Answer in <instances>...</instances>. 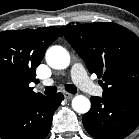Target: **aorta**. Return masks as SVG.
Here are the masks:
<instances>
[{"instance_id":"aorta-1","label":"aorta","mask_w":139,"mask_h":139,"mask_svg":"<svg viewBox=\"0 0 139 139\" xmlns=\"http://www.w3.org/2000/svg\"><path fill=\"white\" fill-rule=\"evenodd\" d=\"M47 64L57 70L66 69L70 64L68 51L61 46H52L46 52ZM91 103L83 95H77L72 100V108L80 114H85L90 110Z\"/></svg>"}]
</instances>
